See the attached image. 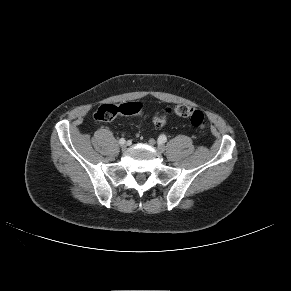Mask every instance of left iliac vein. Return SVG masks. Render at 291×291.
Wrapping results in <instances>:
<instances>
[{
    "label": "left iliac vein",
    "instance_id": "1",
    "mask_svg": "<svg viewBox=\"0 0 291 291\" xmlns=\"http://www.w3.org/2000/svg\"><path fill=\"white\" fill-rule=\"evenodd\" d=\"M157 149L159 152L163 153L165 151V146L163 144H158Z\"/></svg>",
    "mask_w": 291,
    "mask_h": 291
}]
</instances>
